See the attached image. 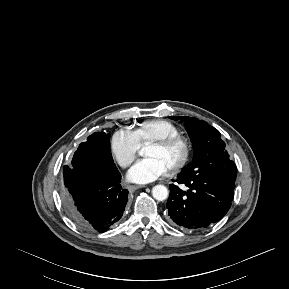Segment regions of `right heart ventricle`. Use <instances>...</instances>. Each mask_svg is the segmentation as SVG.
<instances>
[{
    "label": "right heart ventricle",
    "instance_id": "right-heart-ventricle-1",
    "mask_svg": "<svg viewBox=\"0 0 289 289\" xmlns=\"http://www.w3.org/2000/svg\"><path fill=\"white\" fill-rule=\"evenodd\" d=\"M133 133L139 145H149L151 142L170 136L179 135V129L170 121L152 119L139 123Z\"/></svg>",
    "mask_w": 289,
    "mask_h": 289
}]
</instances>
